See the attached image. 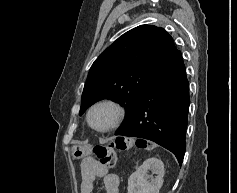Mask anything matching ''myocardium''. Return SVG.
<instances>
[{
  "instance_id": "f54148a6",
  "label": "myocardium",
  "mask_w": 237,
  "mask_h": 193,
  "mask_svg": "<svg viewBox=\"0 0 237 193\" xmlns=\"http://www.w3.org/2000/svg\"><path fill=\"white\" fill-rule=\"evenodd\" d=\"M106 107L113 111V118L111 122L103 127H95L92 123L91 117L92 114L99 108ZM125 111L123 107L116 101L111 99H102L94 103L87 112V123L88 125L96 132L106 133L117 129L124 121Z\"/></svg>"
}]
</instances>
